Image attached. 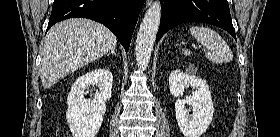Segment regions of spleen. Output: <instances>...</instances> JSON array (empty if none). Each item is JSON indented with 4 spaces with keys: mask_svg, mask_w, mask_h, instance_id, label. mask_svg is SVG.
<instances>
[{
    "mask_svg": "<svg viewBox=\"0 0 280 137\" xmlns=\"http://www.w3.org/2000/svg\"><path fill=\"white\" fill-rule=\"evenodd\" d=\"M196 41L204 45L207 49L206 57L215 63H228L233 59V53L224 39L213 29L203 26H192L189 29ZM182 53L190 55L188 49H183Z\"/></svg>",
    "mask_w": 280,
    "mask_h": 137,
    "instance_id": "obj_1",
    "label": "spleen"
}]
</instances>
